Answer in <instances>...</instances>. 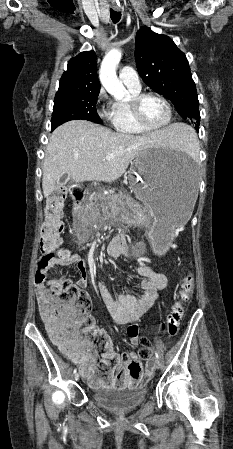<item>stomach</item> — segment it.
Segmentation results:
<instances>
[{"instance_id":"1","label":"stomach","mask_w":233,"mask_h":449,"mask_svg":"<svg viewBox=\"0 0 233 449\" xmlns=\"http://www.w3.org/2000/svg\"><path fill=\"white\" fill-rule=\"evenodd\" d=\"M131 190L149 212L148 230L155 247L165 248L175 228L191 217L198 199V175L188 157L149 148L135 157L128 172ZM137 248L141 250L142 245Z\"/></svg>"}]
</instances>
